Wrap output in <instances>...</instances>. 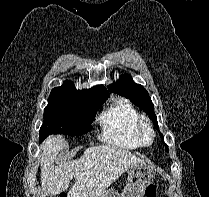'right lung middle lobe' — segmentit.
<instances>
[{"instance_id":"1","label":"right lung middle lobe","mask_w":209,"mask_h":197,"mask_svg":"<svg viewBox=\"0 0 209 197\" xmlns=\"http://www.w3.org/2000/svg\"><path fill=\"white\" fill-rule=\"evenodd\" d=\"M106 99H94L77 89H52L39 132L42 141L50 134L78 136L91 130V120Z\"/></svg>"}]
</instances>
